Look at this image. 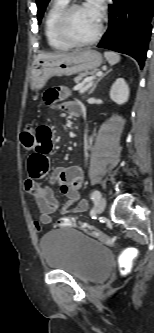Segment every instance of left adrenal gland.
Segmentation results:
<instances>
[{
  "instance_id": "a2214340",
  "label": "left adrenal gland",
  "mask_w": 154,
  "mask_h": 333,
  "mask_svg": "<svg viewBox=\"0 0 154 333\" xmlns=\"http://www.w3.org/2000/svg\"><path fill=\"white\" fill-rule=\"evenodd\" d=\"M110 71H111V70L107 71L104 75H102V76H101V77H100V78L94 83V85L92 86V88H91L90 91H89V94L93 93V91L95 90V88H96L97 84L99 83V81H100L103 77H105Z\"/></svg>"
}]
</instances>
